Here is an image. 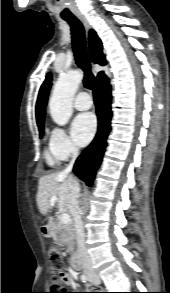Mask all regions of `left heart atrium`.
Masks as SVG:
<instances>
[{
  "mask_svg": "<svg viewBox=\"0 0 170 293\" xmlns=\"http://www.w3.org/2000/svg\"><path fill=\"white\" fill-rule=\"evenodd\" d=\"M97 128L96 118L92 113L77 115L71 125V135L79 146L86 145L94 136Z\"/></svg>",
  "mask_w": 170,
  "mask_h": 293,
  "instance_id": "39dd6f15",
  "label": "left heart atrium"
}]
</instances>
